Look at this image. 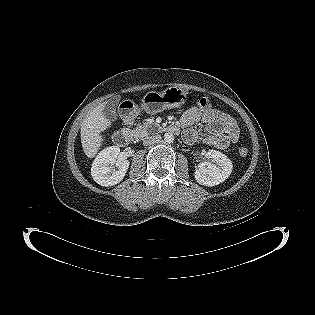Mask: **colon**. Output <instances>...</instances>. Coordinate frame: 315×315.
I'll list each match as a JSON object with an SVG mask.
<instances>
[{
	"label": "colon",
	"instance_id": "5ec220e1",
	"mask_svg": "<svg viewBox=\"0 0 315 315\" xmlns=\"http://www.w3.org/2000/svg\"><path fill=\"white\" fill-rule=\"evenodd\" d=\"M195 102H196L197 106L201 109L213 108L210 100L206 97H196ZM238 152H239L240 156L244 157L248 154V149L246 147H241V148H239Z\"/></svg>",
	"mask_w": 315,
	"mask_h": 315
}]
</instances>
